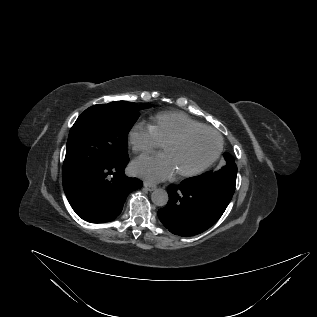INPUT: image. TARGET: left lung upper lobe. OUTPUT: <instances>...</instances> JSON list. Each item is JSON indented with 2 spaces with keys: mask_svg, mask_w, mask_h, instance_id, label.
I'll return each mask as SVG.
<instances>
[{
  "mask_svg": "<svg viewBox=\"0 0 317 317\" xmlns=\"http://www.w3.org/2000/svg\"><path fill=\"white\" fill-rule=\"evenodd\" d=\"M224 158L226 160V165L220 170L215 172L210 171L200 176L204 179H220L236 183L237 166L230 154L225 153Z\"/></svg>",
  "mask_w": 317,
  "mask_h": 317,
  "instance_id": "1",
  "label": "left lung upper lobe"
}]
</instances>
